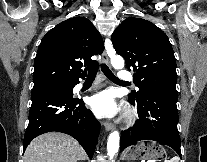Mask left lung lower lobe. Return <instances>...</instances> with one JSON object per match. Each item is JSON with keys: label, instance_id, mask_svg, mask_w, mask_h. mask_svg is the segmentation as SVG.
Here are the masks:
<instances>
[{"label": "left lung lower lobe", "instance_id": "1", "mask_svg": "<svg viewBox=\"0 0 207 162\" xmlns=\"http://www.w3.org/2000/svg\"><path fill=\"white\" fill-rule=\"evenodd\" d=\"M137 107L139 119L134 127L122 131V152L140 140H153L173 148L181 157V141L177 129V95L150 93L140 101H131Z\"/></svg>", "mask_w": 207, "mask_h": 162}]
</instances>
